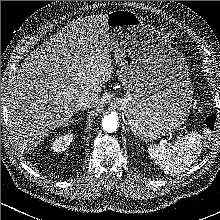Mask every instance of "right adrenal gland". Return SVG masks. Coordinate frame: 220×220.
<instances>
[{
	"label": "right adrenal gland",
	"mask_w": 220,
	"mask_h": 220,
	"mask_svg": "<svg viewBox=\"0 0 220 220\" xmlns=\"http://www.w3.org/2000/svg\"><path fill=\"white\" fill-rule=\"evenodd\" d=\"M76 115V114H75ZM80 120V118H78V119H74V118H72L70 121H69V123H67V125L66 126H68V125H70V123H74V121L75 122H78Z\"/></svg>",
	"instance_id": "right-adrenal-gland-1"
}]
</instances>
